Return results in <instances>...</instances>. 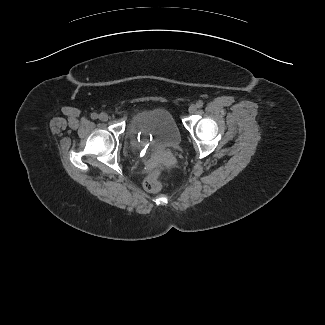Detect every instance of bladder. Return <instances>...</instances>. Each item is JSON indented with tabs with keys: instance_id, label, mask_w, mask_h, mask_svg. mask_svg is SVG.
Here are the masks:
<instances>
[{
	"instance_id": "bladder-1",
	"label": "bladder",
	"mask_w": 325,
	"mask_h": 325,
	"mask_svg": "<svg viewBox=\"0 0 325 325\" xmlns=\"http://www.w3.org/2000/svg\"><path fill=\"white\" fill-rule=\"evenodd\" d=\"M129 137L135 147L175 149L181 143V132L171 114L165 108L142 110L129 122Z\"/></svg>"
}]
</instances>
